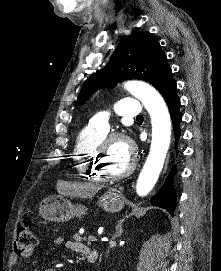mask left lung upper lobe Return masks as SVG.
Instances as JSON below:
<instances>
[{
	"label": "left lung upper lobe",
	"instance_id": "1",
	"mask_svg": "<svg viewBox=\"0 0 221 271\" xmlns=\"http://www.w3.org/2000/svg\"><path fill=\"white\" fill-rule=\"evenodd\" d=\"M126 79H140L152 84L160 93L174 80L167 56L159 42L146 33L125 37L114 51L109 63L88 78L80 91L77 104L95 91L113 87Z\"/></svg>",
	"mask_w": 221,
	"mask_h": 271
}]
</instances>
